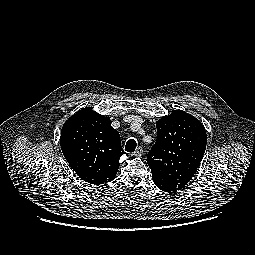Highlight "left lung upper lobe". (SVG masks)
<instances>
[{
    "mask_svg": "<svg viewBox=\"0 0 255 255\" xmlns=\"http://www.w3.org/2000/svg\"><path fill=\"white\" fill-rule=\"evenodd\" d=\"M157 140L147 155L155 185L165 192L184 188L203 158L207 135L191 114L175 110L156 122Z\"/></svg>",
    "mask_w": 255,
    "mask_h": 255,
    "instance_id": "obj_1",
    "label": "left lung upper lobe"
}]
</instances>
